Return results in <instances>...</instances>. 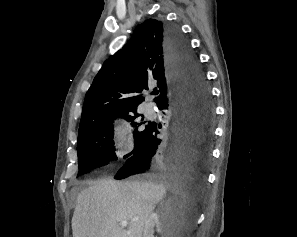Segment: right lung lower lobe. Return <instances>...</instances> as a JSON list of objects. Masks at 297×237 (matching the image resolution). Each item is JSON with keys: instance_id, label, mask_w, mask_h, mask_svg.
Returning <instances> with one entry per match:
<instances>
[{"instance_id": "obj_1", "label": "right lung lower lobe", "mask_w": 297, "mask_h": 237, "mask_svg": "<svg viewBox=\"0 0 297 237\" xmlns=\"http://www.w3.org/2000/svg\"><path fill=\"white\" fill-rule=\"evenodd\" d=\"M165 48L172 88L158 108L167 111L166 135L159 139L156 124H151L144 140L115 175L117 180L141 173L207 172L213 119L208 85L188 41L175 25L165 26Z\"/></svg>"}]
</instances>
